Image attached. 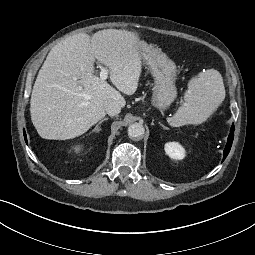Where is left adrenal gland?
Returning <instances> with one entry per match:
<instances>
[{"label": "left adrenal gland", "mask_w": 255, "mask_h": 255, "mask_svg": "<svg viewBox=\"0 0 255 255\" xmlns=\"http://www.w3.org/2000/svg\"><path fill=\"white\" fill-rule=\"evenodd\" d=\"M160 126L163 128V129H167L168 130V127L164 126L161 122H159Z\"/></svg>", "instance_id": "left-adrenal-gland-1"}]
</instances>
